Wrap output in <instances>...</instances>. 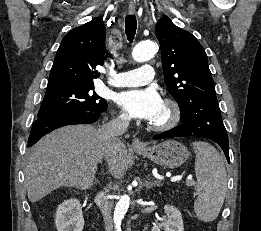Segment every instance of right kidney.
I'll return each instance as SVG.
<instances>
[{"mask_svg": "<svg viewBox=\"0 0 261 231\" xmlns=\"http://www.w3.org/2000/svg\"><path fill=\"white\" fill-rule=\"evenodd\" d=\"M57 231H83L82 207L77 199H69L60 204L55 215Z\"/></svg>", "mask_w": 261, "mask_h": 231, "instance_id": "obj_1", "label": "right kidney"}]
</instances>
